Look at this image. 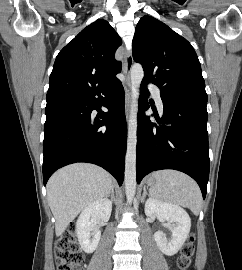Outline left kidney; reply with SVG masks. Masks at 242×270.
I'll use <instances>...</instances> for the list:
<instances>
[{"label": "left kidney", "mask_w": 242, "mask_h": 270, "mask_svg": "<svg viewBox=\"0 0 242 270\" xmlns=\"http://www.w3.org/2000/svg\"><path fill=\"white\" fill-rule=\"evenodd\" d=\"M145 214L157 217L171 230V239L167 240L163 231L154 233V239L161 250L167 256L175 255L186 241L190 228L191 219L188 213L180 206L149 198L145 203Z\"/></svg>", "instance_id": "obj_1"}]
</instances>
